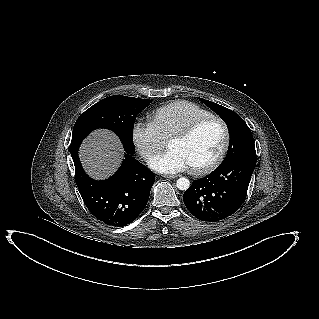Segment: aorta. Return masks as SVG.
<instances>
[{"mask_svg":"<svg viewBox=\"0 0 319 319\" xmlns=\"http://www.w3.org/2000/svg\"><path fill=\"white\" fill-rule=\"evenodd\" d=\"M176 186L180 190H187L190 187V181L185 177H181L177 180Z\"/></svg>","mask_w":319,"mask_h":319,"instance_id":"1","label":"aorta"}]
</instances>
